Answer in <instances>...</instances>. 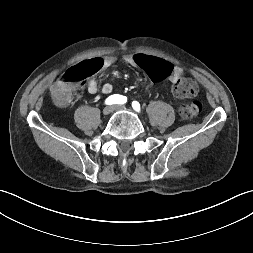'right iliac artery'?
Returning a JSON list of instances; mask_svg holds the SVG:
<instances>
[{"label":"right iliac artery","mask_w":253,"mask_h":253,"mask_svg":"<svg viewBox=\"0 0 253 253\" xmlns=\"http://www.w3.org/2000/svg\"><path fill=\"white\" fill-rule=\"evenodd\" d=\"M126 102H127V98L119 94L111 95L105 100V104L107 105L125 104Z\"/></svg>","instance_id":"obj_1"}]
</instances>
